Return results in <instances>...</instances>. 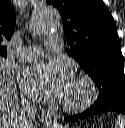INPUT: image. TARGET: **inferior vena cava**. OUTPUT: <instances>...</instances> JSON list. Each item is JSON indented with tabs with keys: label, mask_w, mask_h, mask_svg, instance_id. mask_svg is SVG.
I'll use <instances>...</instances> for the list:
<instances>
[{
	"label": "inferior vena cava",
	"mask_w": 125,
	"mask_h": 128,
	"mask_svg": "<svg viewBox=\"0 0 125 128\" xmlns=\"http://www.w3.org/2000/svg\"><path fill=\"white\" fill-rule=\"evenodd\" d=\"M36 106L30 103H25L19 115V128H28V124L35 117Z\"/></svg>",
	"instance_id": "obj_1"
}]
</instances>
